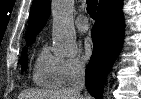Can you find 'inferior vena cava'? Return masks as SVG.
Returning <instances> with one entry per match:
<instances>
[{"label": "inferior vena cava", "mask_w": 141, "mask_h": 99, "mask_svg": "<svg viewBox=\"0 0 141 99\" xmlns=\"http://www.w3.org/2000/svg\"><path fill=\"white\" fill-rule=\"evenodd\" d=\"M73 88L75 90L81 91L85 88V66L84 64H77L75 66V82L73 85ZM89 97L85 93V99H88Z\"/></svg>", "instance_id": "inferior-vena-cava-1"}]
</instances>
